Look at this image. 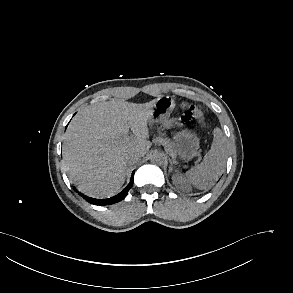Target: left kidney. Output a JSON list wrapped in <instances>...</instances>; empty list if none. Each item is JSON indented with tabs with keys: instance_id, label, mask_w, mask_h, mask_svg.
Returning <instances> with one entry per match:
<instances>
[{
	"instance_id": "left-kidney-1",
	"label": "left kidney",
	"mask_w": 293,
	"mask_h": 293,
	"mask_svg": "<svg viewBox=\"0 0 293 293\" xmlns=\"http://www.w3.org/2000/svg\"><path fill=\"white\" fill-rule=\"evenodd\" d=\"M172 180L173 184L182 190H186L189 188V185L187 184L186 180L183 178L181 174L174 175L172 177Z\"/></svg>"
}]
</instances>
